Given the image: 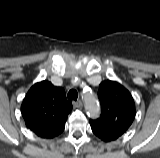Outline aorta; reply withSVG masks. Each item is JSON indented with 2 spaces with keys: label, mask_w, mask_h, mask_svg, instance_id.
I'll return each mask as SVG.
<instances>
[{
  "label": "aorta",
  "mask_w": 160,
  "mask_h": 158,
  "mask_svg": "<svg viewBox=\"0 0 160 158\" xmlns=\"http://www.w3.org/2000/svg\"><path fill=\"white\" fill-rule=\"evenodd\" d=\"M85 108L91 118H97L100 115V107L95 95L91 92L84 93Z\"/></svg>",
  "instance_id": "obj_1"
}]
</instances>
